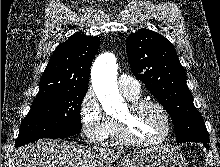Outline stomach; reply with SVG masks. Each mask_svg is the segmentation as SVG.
<instances>
[{
  "label": "stomach",
  "mask_w": 220,
  "mask_h": 167,
  "mask_svg": "<svg viewBox=\"0 0 220 167\" xmlns=\"http://www.w3.org/2000/svg\"><path fill=\"white\" fill-rule=\"evenodd\" d=\"M120 167H189V163L181 153L161 147L131 152Z\"/></svg>",
  "instance_id": "obj_1"
}]
</instances>
